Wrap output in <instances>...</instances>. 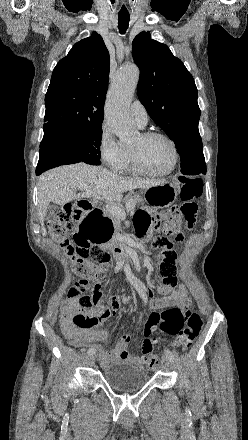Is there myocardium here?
<instances>
[{
  "mask_svg": "<svg viewBox=\"0 0 248 440\" xmlns=\"http://www.w3.org/2000/svg\"><path fill=\"white\" fill-rule=\"evenodd\" d=\"M141 136L144 140H149L152 138H162L166 140L170 144L173 151V162L166 171L163 172L150 171L143 165L139 152L131 147L130 148L131 160L134 170L139 174L149 177H165L170 175L176 169L179 161V151L176 142L169 135L160 131H145L141 134Z\"/></svg>",
  "mask_w": 248,
  "mask_h": 440,
  "instance_id": "1",
  "label": "myocardium"
}]
</instances>
